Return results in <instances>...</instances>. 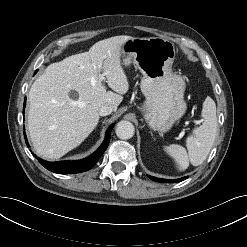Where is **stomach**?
<instances>
[{
  "label": "stomach",
  "mask_w": 247,
  "mask_h": 247,
  "mask_svg": "<svg viewBox=\"0 0 247 247\" xmlns=\"http://www.w3.org/2000/svg\"><path fill=\"white\" fill-rule=\"evenodd\" d=\"M175 55L174 43L159 37L131 38L122 47L124 64L133 61L143 75L140 87L146 98L141 108L144 118L160 133L170 130L187 109L185 80L172 70Z\"/></svg>",
  "instance_id": "1"
}]
</instances>
